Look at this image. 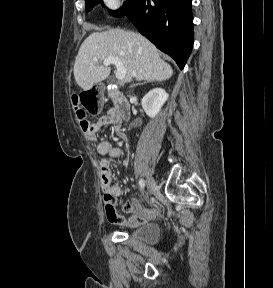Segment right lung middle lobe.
<instances>
[{
  "instance_id": "dd1d6c3e",
  "label": "right lung middle lobe",
  "mask_w": 273,
  "mask_h": 288,
  "mask_svg": "<svg viewBox=\"0 0 273 288\" xmlns=\"http://www.w3.org/2000/svg\"><path fill=\"white\" fill-rule=\"evenodd\" d=\"M85 2H86V11L88 12L96 4L102 3V0H85ZM134 2H135V0H127V2H125L120 9L115 10V11L109 10V13L113 16H116V17H123L130 11Z\"/></svg>"
}]
</instances>
